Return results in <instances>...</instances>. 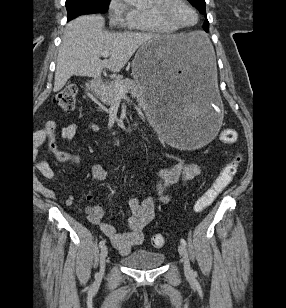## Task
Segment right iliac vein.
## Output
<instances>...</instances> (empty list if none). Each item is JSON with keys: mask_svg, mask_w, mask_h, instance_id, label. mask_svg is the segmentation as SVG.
<instances>
[{"mask_svg": "<svg viewBox=\"0 0 286 308\" xmlns=\"http://www.w3.org/2000/svg\"><path fill=\"white\" fill-rule=\"evenodd\" d=\"M108 254V247L103 246L100 251V274L102 275L104 273L105 269V260Z\"/></svg>", "mask_w": 286, "mask_h": 308, "instance_id": "63e3f726", "label": "right iliac vein"}]
</instances>
